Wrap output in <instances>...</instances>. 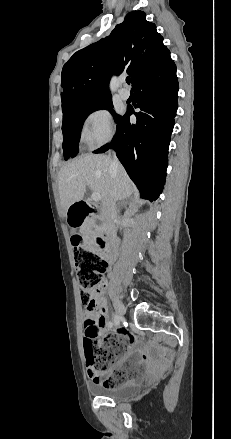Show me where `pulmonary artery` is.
<instances>
[{
	"label": "pulmonary artery",
	"instance_id": "pulmonary-artery-1",
	"mask_svg": "<svg viewBox=\"0 0 231 439\" xmlns=\"http://www.w3.org/2000/svg\"><path fill=\"white\" fill-rule=\"evenodd\" d=\"M119 96L121 97V99L127 100L130 97V91L126 87H123L119 91Z\"/></svg>",
	"mask_w": 231,
	"mask_h": 439
}]
</instances>
